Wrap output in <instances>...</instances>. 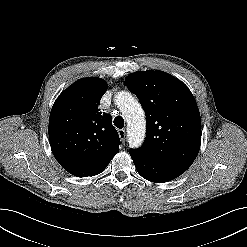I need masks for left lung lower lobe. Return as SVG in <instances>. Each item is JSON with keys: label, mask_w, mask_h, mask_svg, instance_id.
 <instances>
[{"label": "left lung lower lobe", "mask_w": 247, "mask_h": 247, "mask_svg": "<svg viewBox=\"0 0 247 247\" xmlns=\"http://www.w3.org/2000/svg\"><path fill=\"white\" fill-rule=\"evenodd\" d=\"M130 156L138 173L143 178L156 183L173 180L190 167L183 164L159 161L133 150H130Z\"/></svg>", "instance_id": "1"}]
</instances>
